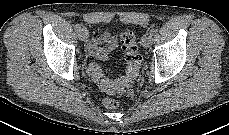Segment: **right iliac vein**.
<instances>
[{"mask_svg":"<svg viewBox=\"0 0 229 135\" xmlns=\"http://www.w3.org/2000/svg\"><path fill=\"white\" fill-rule=\"evenodd\" d=\"M78 37L81 41H86L89 37V32L86 29H82L78 33Z\"/></svg>","mask_w":229,"mask_h":135,"instance_id":"1","label":"right iliac vein"}]
</instances>
